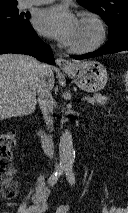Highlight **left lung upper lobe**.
<instances>
[{
  "label": "left lung upper lobe",
  "instance_id": "1",
  "mask_svg": "<svg viewBox=\"0 0 128 213\" xmlns=\"http://www.w3.org/2000/svg\"><path fill=\"white\" fill-rule=\"evenodd\" d=\"M89 10L99 14L107 22L109 35L128 27V0H78Z\"/></svg>",
  "mask_w": 128,
  "mask_h": 213
}]
</instances>
